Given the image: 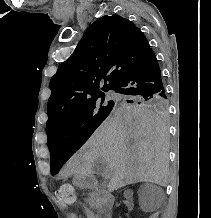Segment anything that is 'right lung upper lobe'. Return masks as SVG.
Segmentation results:
<instances>
[{
    "instance_id": "obj_1",
    "label": "right lung upper lobe",
    "mask_w": 211,
    "mask_h": 218,
    "mask_svg": "<svg viewBox=\"0 0 211 218\" xmlns=\"http://www.w3.org/2000/svg\"><path fill=\"white\" fill-rule=\"evenodd\" d=\"M152 49L143 33L119 15L103 16L51 78L47 129L67 112L102 94ZM108 82V84H106Z\"/></svg>"
}]
</instances>
